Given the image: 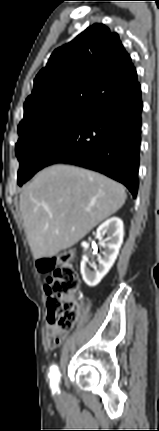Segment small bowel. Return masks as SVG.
I'll list each match as a JSON object with an SVG mask.
<instances>
[{"label": "small bowel", "mask_w": 159, "mask_h": 431, "mask_svg": "<svg viewBox=\"0 0 159 431\" xmlns=\"http://www.w3.org/2000/svg\"><path fill=\"white\" fill-rule=\"evenodd\" d=\"M68 332L53 323H49L45 329L46 342L49 349L54 350L66 339Z\"/></svg>", "instance_id": "c3829d8e"}]
</instances>
